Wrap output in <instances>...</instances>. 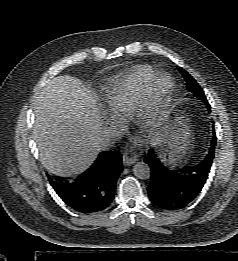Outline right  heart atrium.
Here are the masks:
<instances>
[{"instance_id": "obj_1", "label": "right heart atrium", "mask_w": 238, "mask_h": 261, "mask_svg": "<svg viewBox=\"0 0 238 261\" xmlns=\"http://www.w3.org/2000/svg\"><path fill=\"white\" fill-rule=\"evenodd\" d=\"M108 121L113 125H120L121 119L119 116L111 114L108 118Z\"/></svg>"}]
</instances>
